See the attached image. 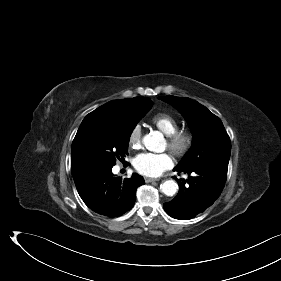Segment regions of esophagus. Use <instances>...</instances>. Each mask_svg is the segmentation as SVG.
<instances>
[{"mask_svg": "<svg viewBox=\"0 0 281 281\" xmlns=\"http://www.w3.org/2000/svg\"><path fill=\"white\" fill-rule=\"evenodd\" d=\"M145 181H146L147 183H149V182L159 181V179H154V178H148V177H146V178H145Z\"/></svg>", "mask_w": 281, "mask_h": 281, "instance_id": "1", "label": "esophagus"}]
</instances>
